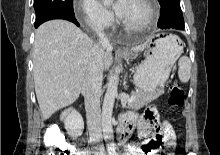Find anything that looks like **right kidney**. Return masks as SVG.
<instances>
[{"instance_id": "1", "label": "right kidney", "mask_w": 220, "mask_h": 155, "mask_svg": "<svg viewBox=\"0 0 220 155\" xmlns=\"http://www.w3.org/2000/svg\"><path fill=\"white\" fill-rule=\"evenodd\" d=\"M65 129L68 134L73 137H78L84 129V121L82 116L77 111H72L65 120Z\"/></svg>"}]
</instances>
